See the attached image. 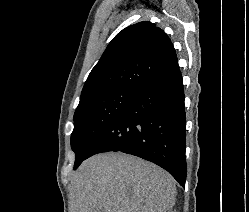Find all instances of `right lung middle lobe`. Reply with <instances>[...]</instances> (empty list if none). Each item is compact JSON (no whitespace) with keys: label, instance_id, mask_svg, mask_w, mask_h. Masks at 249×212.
<instances>
[{"label":"right lung middle lobe","instance_id":"right-lung-middle-lobe-1","mask_svg":"<svg viewBox=\"0 0 249 212\" xmlns=\"http://www.w3.org/2000/svg\"><path fill=\"white\" fill-rule=\"evenodd\" d=\"M137 95L138 92L134 91L108 92L78 105L71 134V148L75 152L74 170L87 159L92 145L108 125Z\"/></svg>","mask_w":249,"mask_h":212}]
</instances>
